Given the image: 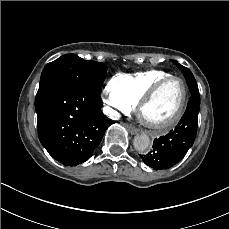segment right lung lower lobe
I'll use <instances>...</instances> for the list:
<instances>
[{"label":"right lung lower lobe","instance_id":"98d812e1","mask_svg":"<svg viewBox=\"0 0 229 229\" xmlns=\"http://www.w3.org/2000/svg\"><path fill=\"white\" fill-rule=\"evenodd\" d=\"M100 94L82 84L64 82L35 100L39 140L55 160L76 166L98 147L114 123L101 111Z\"/></svg>","mask_w":229,"mask_h":229}]
</instances>
